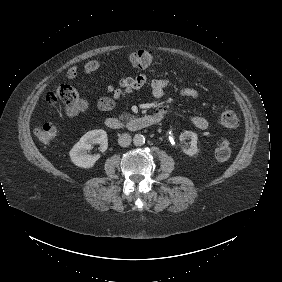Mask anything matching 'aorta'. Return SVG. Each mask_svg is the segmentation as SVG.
Listing matches in <instances>:
<instances>
[{"instance_id":"obj_1","label":"aorta","mask_w":282,"mask_h":282,"mask_svg":"<svg viewBox=\"0 0 282 282\" xmlns=\"http://www.w3.org/2000/svg\"><path fill=\"white\" fill-rule=\"evenodd\" d=\"M133 144L140 147L145 144V137L142 134H135L133 137Z\"/></svg>"}]
</instances>
